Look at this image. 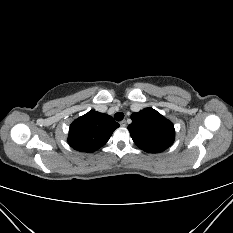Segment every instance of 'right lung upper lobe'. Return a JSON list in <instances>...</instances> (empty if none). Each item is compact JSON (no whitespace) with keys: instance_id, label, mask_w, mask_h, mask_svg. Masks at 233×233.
<instances>
[{"instance_id":"right-lung-upper-lobe-1","label":"right lung upper lobe","mask_w":233,"mask_h":233,"mask_svg":"<svg viewBox=\"0 0 233 233\" xmlns=\"http://www.w3.org/2000/svg\"><path fill=\"white\" fill-rule=\"evenodd\" d=\"M118 127L111 116L91 110L70 125L68 144L80 152H94L109 140Z\"/></svg>"}]
</instances>
